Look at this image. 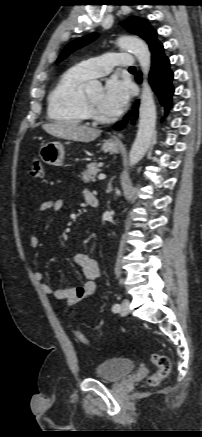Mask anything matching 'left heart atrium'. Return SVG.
Returning <instances> with one entry per match:
<instances>
[{
    "mask_svg": "<svg viewBox=\"0 0 202 437\" xmlns=\"http://www.w3.org/2000/svg\"><path fill=\"white\" fill-rule=\"evenodd\" d=\"M130 97V84L127 81L112 78L106 83L100 108L108 115H119L128 105Z\"/></svg>",
    "mask_w": 202,
    "mask_h": 437,
    "instance_id": "obj_1",
    "label": "left heart atrium"
}]
</instances>
